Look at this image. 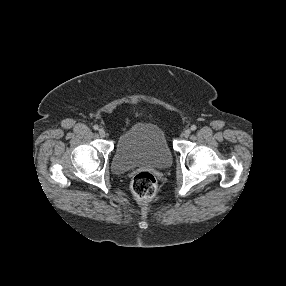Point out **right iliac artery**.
I'll use <instances>...</instances> for the list:
<instances>
[{"label":"right iliac artery","mask_w":286,"mask_h":286,"mask_svg":"<svg viewBox=\"0 0 286 286\" xmlns=\"http://www.w3.org/2000/svg\"><path fill=\"white\" fill-rule=\"evenodd\" d=\"M94 130H98L99 129V127H98V125H94Z\"/></svg>","instance_id":"82829eb1"}]
</instances>
